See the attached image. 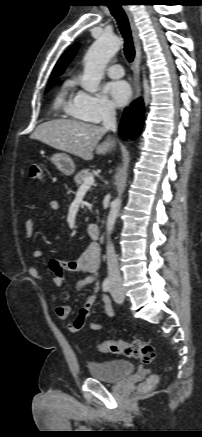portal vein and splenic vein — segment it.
<instances>
[{
  "mask_svg": "<svg viewBox=\"0 0 202 437\" xmlns=\"http://www.w3.org/2000/svg\"><path fill=\"white\" fill-rule=\"evenodd\" d=\"M94 184V177L89 176L84 179L83 184L80 186L79 190H88Z\"/></svg>",
  "mask_w": 202,
  "mask_h": 437,
  "instance_id": "portal-vein-and-splenic-vein-1",
  "label": "portal vein and splenic vein"
}]
</instances>
